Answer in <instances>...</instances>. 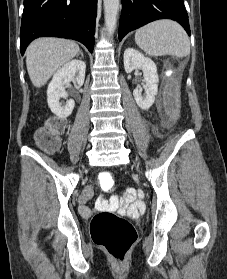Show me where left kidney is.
I'll list each match as a JSON object with an SVG mask.
<instances>
[{
  "label": "left kidney",
  "mask_w": 227,
  "mask_h": 279,
  "mask_svg": "<svg viewBox=\"0 0 227 279\" xmlns=\"http://www.w3.org/2000/svg\"><path fill=\"white\" fill-rule=\"evenodd\" d=\"M124 68L127 73L135 69L143 71L146 83L143 88L146 93L142 95L143 88L139 87L133 91V96L140 109L148 110L153 105L158 92L159 77L155 63L139 51L128 48L124 52Z\"/></svg>",
  "instance_id": "1"
}]
</instances>
